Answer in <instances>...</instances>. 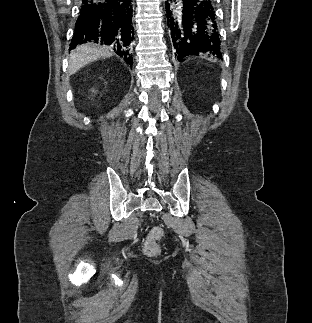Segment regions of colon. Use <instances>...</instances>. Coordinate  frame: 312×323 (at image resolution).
Here are the masks:
<instances>
[{"instance_id":"colon-1","label":"colon","mask_w":312,"mask_h":323,"mask_svg":"<svg viewBox=\"0 0 312 323\" xmlns=\"http://www.w3.org/2000/svg\"><path fill=\"white\" fill-rule=\"evenodd\" d=\"M161 236H163V231L160 229H153L150 232L143 244V250L146 254L154 256L159 253L157 239Z\"/></svg>"}]
</instances>
